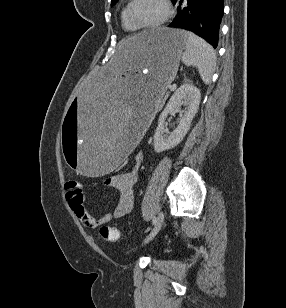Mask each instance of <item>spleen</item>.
Wrapping results in <instances>:
<instances>
[{
	"label": "spleen",
	"instance_id": "3e777b00",
	"mask_svg": "<svg viewBox=\"0 0 286 308\" xmlns=\"http://www.w3.org/2000/svg\"><path fill=\"white\" fill-rule=\"evenodd\" d=\"M187 43L182 55L186 66L196 67L205 84L211 81L216 65V54L212 46L192 32H186Z\"/></svg>",
	"mask_w": 286,
	"mask_h": 308
}]
</instances>
